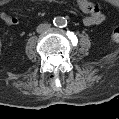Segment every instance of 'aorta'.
<instances>
[{"instance_id": "obj_1", "label": "aorta", "mask_w": 119, "mask_h": 119, "mask_svg": "<svg viewBox=\"0 0 119 119\" xmlns=\"http://www.w3.org/2000/svg\"><path fill=\"white\" fill-rule=\"evenodd\" d=\"M53 23L55 26L64 27L67 24V20L64 17H55Z\"/></svg>"}]
</instances>
